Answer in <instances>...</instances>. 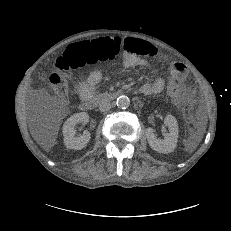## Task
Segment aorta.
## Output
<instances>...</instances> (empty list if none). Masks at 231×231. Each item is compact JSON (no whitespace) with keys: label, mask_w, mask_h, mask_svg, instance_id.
I'll list each match as a JSON object with an SVG mask.
<instances>
[{"label":"aorta","mask_w":231,"mask_h":231,"mask_svg":"<svg viewBox=\"0 0 231 231\" xmlns=\"http://www.w3.org/2000/svg\"><path fill=\"white\" fill-rule=\"evenodd\" d=\"M116 104H117L118 108L126 109L130 105V99L125 95L119 96L117 98Z\"/></svg>","instance_id":"1"}]
</instances>
